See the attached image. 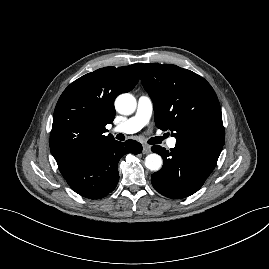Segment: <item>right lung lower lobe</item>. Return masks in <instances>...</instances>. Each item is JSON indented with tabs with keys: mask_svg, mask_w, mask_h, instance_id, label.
Here are the masks:
<instances>
[{
	"mask_svg": "<svg viewBox=\"0 0 269 269\" xmlns=\"http://www.w3.org/2000/svg\"><path fill=\"white\" fill-rule=\"evenodd\" d=\"M142 145L134 140H112L95 146L76 158L58 165L69 186L79 195L99 199L111 193L119 180L117 165L126 153L139 154Z\"/></svg>",
	"mask_w": 269,
	"mask_h": 269,
	"instance_id": "right-lung-lower-lobe-1",
	"label": "right lung lower lobe"
}]
</instances>
